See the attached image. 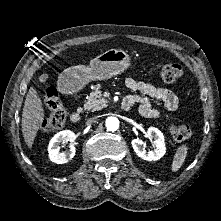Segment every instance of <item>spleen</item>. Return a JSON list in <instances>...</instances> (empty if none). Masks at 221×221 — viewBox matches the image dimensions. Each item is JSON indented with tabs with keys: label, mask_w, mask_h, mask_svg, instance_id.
Here are the masks:
<instances>
[{
	"label": "spleen",
	"mask_w": 221,
	"mask_h": 221,
	"mask_svg": "<svg viewBox=\"0 0 221 221\" xmlns=\"http://www.w3.org/2000/svg\"><path fill=\"white\" fill-rule=\"evenodd\" d=\"M187 156V146L181 145L177 150L173 158L171 169L173 172L178 171L183 165L185 158Z\"/></svg>",
	"instance_id": "3e777b00"
}]
</instances>
